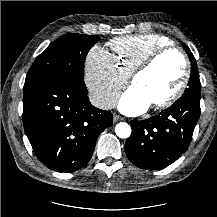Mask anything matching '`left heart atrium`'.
Listing matches in <instances>:
<instances>
[{"label":"left heart atrium","instance_id":"obj_1","mask_svg":"<svg viewBox=\"0 0 217 217\" xmlns=\"http://www.w3.org/2000/svg\"><path fill=\"white\" fill-rule=\"evenodd\" d=\"M150 105V102L144 97L137 88L130 87L120 98L119 109L130 115H137L144 112Z\"/></svg>","mask_w":217,"mask_h":217}]
</instances>
